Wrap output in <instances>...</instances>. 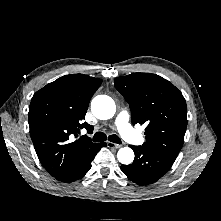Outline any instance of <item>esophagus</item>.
I'll list each match as a JSON object with an SVG mask.
<instances>
[{
  "label": "esophagus",
  "mask_w": 221,
  "mask_h": 221,
  "mask_svg": "<svg viewBox=\"0 0 221 221\" xmlns=\"http://www.w3.org/2000/svg\"><path fill=\"white\" fill-rule=\"evenodd\" d=\"M107 147L108 148H112V149H119L122 147V145L120 144H115L113 142H107Z\"/></svg>",
  "instance_id": "1"
}]
</instances>
